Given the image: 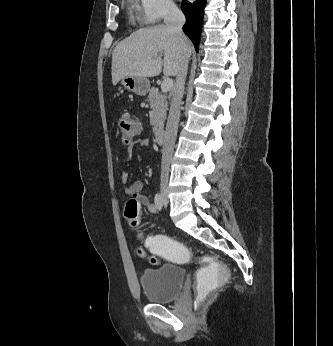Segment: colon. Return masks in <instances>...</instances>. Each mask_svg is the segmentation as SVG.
<instances>
[{
	"mask_svg": "<svg viewBox=\"0 0 333 346\" xmlns=\"http://www.w3.org/2000/svg\"><path fill=\"white\" fill-rule=\"evenodd\" d=\"M119 128L123 143H131L139 132L138 120L129 113H123L119 119ZM124 218L126 223L131 227H136L140 220L139 203L136 199H130L125 205ZM144 247L149 251V261L151 264H157V259L154 256H163V260H169L170 264L184 263L188 259V250L181 240H175V235L169 233H153L148 236V240H144ZM137 253L141 257H146V252L142 247H138ZM200 263L204 264L197 266L198 272V288L196 298L199 299L200 308H207L206 299L209 294L214 293V288H222L223 283H226L230 276V269H226L223 264V257H210V264L207 263L206 257L200 258Z\"/></svg>",
	"mask_w": 333,
	"mask_h": 346,
	"instance_id": "1",
	"label": "colon"
}]
</instances>
